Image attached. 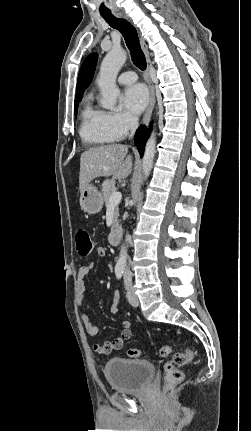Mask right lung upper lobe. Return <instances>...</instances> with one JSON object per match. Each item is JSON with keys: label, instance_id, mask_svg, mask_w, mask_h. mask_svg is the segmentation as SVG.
Listing matches in <instances>:
<instances>
[{"label": "right lung upper lobe", "instance_id": "1", "mask_svg": "<svg viewBox=\"0 0 251 431\" xmlns=\"http://www.w3.org/2000/svg\"><path fill=\"white\" fill-rule=\"evenodd\" d=\"M97 58L98 54L92 53L84 60L78 76L75 100L82 99L84 90L91 83L96 69Z\"/></svg>", "mask_w": 251, "mask_h": 431}]
</instances>
